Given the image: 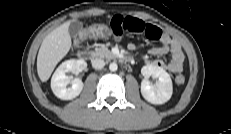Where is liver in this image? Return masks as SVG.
<instances>
[{
  "label": "liver",
  "mask_w": 231,
  "mask_h": 134,
  "mask_svg": "<svg viewBox=\"0 0 231 134\" xmlns=\"http://www.w3.org/2000/svg\"><path fill=\"white\" fill-rule=\"evenodd\" d=\"M70 21H67L50 32L43 40L37 56V72L40 80L46 82L58 62L69 52L71 37Z\"/></svg>",
  "instance_id": "1"
}]
</instances>
